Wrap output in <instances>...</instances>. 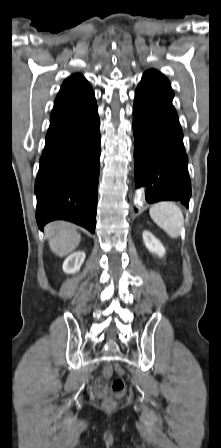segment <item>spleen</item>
<instances>
[{
  "instance_id": "obj_1",
  "label": "spleen",
  "mask_w": 221,
  "mask_h": 448,
  "mask_svg": "<svg viewBox=\"0 0 221 448\" xmlns=\"http://www.w3.org/2000/svg\"><path fill=\"white\" fill-rule=\"evenodd\" d=\"M149 213L152 220L171 238L180 237L184 216L177 205L168 201L159 202L150 208Z\"/></svg>"
}]
</instances>
